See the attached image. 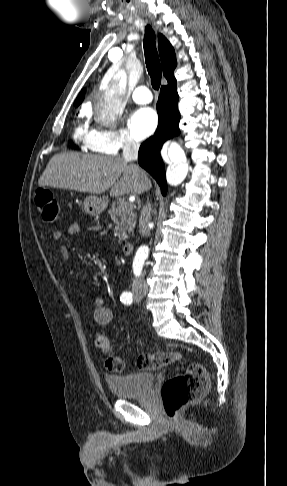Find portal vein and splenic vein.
Segmentation results:
<instances>
[{
  "label": "portal vein and splenic vein",
  "instance_id": "18ae733b",
  "mask_svg": "<svg viewBox=\"0 0 287 486\" xmlns=\"http://www.w3.org/2000/svg\"><path fill=\"white\" fill-rule=\"evenodd\" d=\"M129 200H130L131 202H133V201L135 200V198H134V197H131Z\"/></svg>",
  "mask_w": 287,
  "mask_h": 486
}]
</instances>
